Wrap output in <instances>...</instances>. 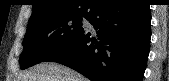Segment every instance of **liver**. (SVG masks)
<instances>
[{"instance_id":"obj_1","label":"liver","mask_w":169,"mask_h":81,"mask_svg":"<svg viewBox=\"0 0 169 81\" xmlns=\"http://www.w3.org/2000/svg\"><path fill=\"white\" fill-rule=\"evenodd\" d=\"M18 79V81H87L83 75L55 62L37 64L21 74Z\"/></svg>"}]
</instances>
